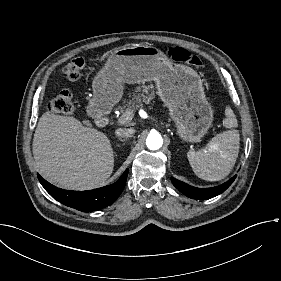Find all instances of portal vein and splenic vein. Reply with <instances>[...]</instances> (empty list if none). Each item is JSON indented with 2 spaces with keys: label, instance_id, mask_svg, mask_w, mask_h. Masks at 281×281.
<instances>
[{
  "label": "portal vein and splenic vein",
  "instance_id": "obj_1",
  "mask_svg": "<svg viewBox=\"0 0 281 281\" xmlns=\"http://www.w3.org/2000/svg\"><path fill=\"white\" fill-rule=\"evenodd\" d=\"M133 111V110H132ZM132 111H131V113H132ZM130 113V114H131ZM129 114V115H130ZM129 117V116H128ZM128 121V118L127 117H124L123 119H121V120H118L116 123H115V126L116 127H119V126H121L122 124H124V123H126Z\"/></svg>",
  "mask_w": 281,
  "mask_h": 281
}]
</instances>
